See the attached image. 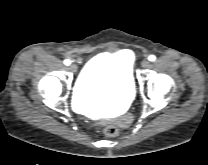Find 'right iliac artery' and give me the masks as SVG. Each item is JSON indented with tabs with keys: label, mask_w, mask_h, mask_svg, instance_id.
Here are the masks:
<instances>
[{
	"label": "right iliac artery",
	"mask_w": 208,
	"mask_h": 165,
	"mask_svg": "<svg viewBox=\"0 0 208 165\" xmlns=\"http://www.w3.org/2000/svg\"><path fill=\"white\" fill-rule=\"evenodd\" d=\"M70 63H71L70 60H68V59L64 60L65 65H70Z\"/></svg>",
	"instance_id": "1"
}]
</instances>
